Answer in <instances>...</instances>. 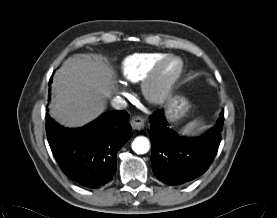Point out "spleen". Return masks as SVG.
I'll return each mask as SVG.
<instances>
[{
    "mask_svg": "<svg viewBox=\"0 0 277 218\" xmlns=\"http://www.w3.org/2000/svg\"><path fill=\"white\" fill-rule=\"evenodd\" d=\"M200 124H201V122L199 120H194V121L188 123L186 126H184L181 129L180 133L182 135H186V136L194 135V134H196L197 129Z\"/></svg>",
    "mask_w": 277,
    "mask_h": 218,
    "instance_id": "spleen-1",
    "label": "spleen"
}]
</instances>
